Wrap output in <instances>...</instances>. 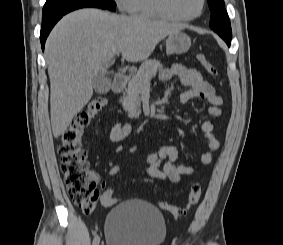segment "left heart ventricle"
<instances>
[{
	"mask_svg": "<svg viewBox=\"0 0 283 245\" xmlns=\"http://www.w3.org/2000/svg\"><path fill=\"white\" fill-rule=\"evenodd\" d=\"M173 12L182 17L195 15L200 8V0H170Z\"/></svg>",
	"mask_w": 283,
	"mask_h": 245,
	"instance_id": "obj_1",
	"label": "left heart ventricle"
}]
</instances>
